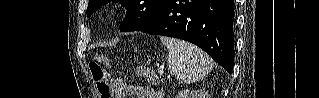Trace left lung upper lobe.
<instances>
[{"label":"left lung upper lobe","mask_w":319,"mask_h":98,"mask_svg":"<svg viewBox=\"0 0 319 98\" xmlns=\"http://www.w3.org/2000/svg\"><path fill=\"white\" fill-rule=\"evenodd\" d=\"M111 0H89L87 16L90 17L93 12L103 4ZM120 2L127 9L124 21L120 24L121 32L135 31L147 24L157 13L164 0H112Z\"/></svg>","instance_id":"1"}]
</instances>
